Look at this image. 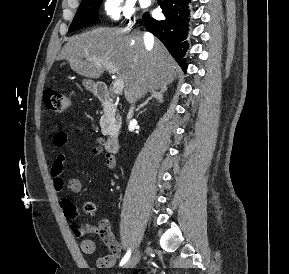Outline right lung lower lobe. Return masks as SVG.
Masks as SVG:
<instances>
[{"instance_id":"right-lung-lower-lobe-1","label":"right lung lower lobe","mask_w":289,"mask_h":274,"mask_svg":"<svg viewBox=\"0 0 289 274\" xmlns=\"http://www.w3.org/2000/svg\"><path fill=\"white\" fill-rule=\"evenodd\" d=\"M163 9L165 19L155 20L145 13L143 21L146 29L157 36L183 70L187 68L185 51L188 32V4L191 0H157Z\"/></svg>"}]
</instances>
